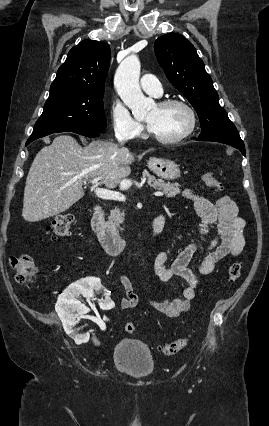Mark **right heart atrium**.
Returning <instances> with one entry per match:
<instances>
[{"instance_id": "1", "label": "right heart atrium", "mask_w": 269, "mask_h": 426, "mask_svg": "<svg viewBox=\"0 0 269 426\" xmlns=\"http://www.w3.org/2000/svg\"><path fill=\"white\" fill-rule=\"evenodd\" d=\"M110 115L114 132L118 137L135 139L142 134V125L131 116L128 109L119 101H112Z\"/></svg>"}]
</instances>
